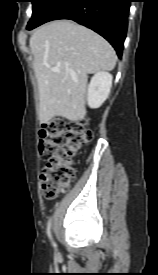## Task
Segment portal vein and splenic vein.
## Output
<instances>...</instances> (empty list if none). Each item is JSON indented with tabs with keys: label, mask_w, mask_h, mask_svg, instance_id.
<instances>
[{
	"label": "portal vein and splenic vein",
	"mask_w": 158,
	"mask_h": 275,
	"mask_svg": "<svg viewBox=\"0 0 158 275\" xmlns=\"http://www.w3.org/2000/svg\"><path fill=\"white\" fill-rule=\"evenodd\" d=\"M52 71L58 72V71H59V68H58V67H53V68H52Z\"/></svg>",
	"instance_id": "portal-vein-and-splenic-vein-1"
}]
</instances>
